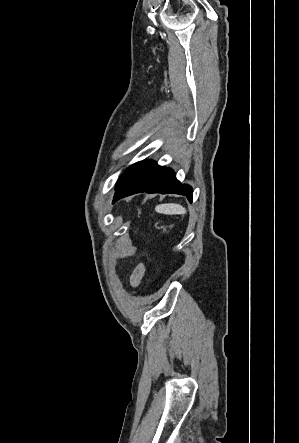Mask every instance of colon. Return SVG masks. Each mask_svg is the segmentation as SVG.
I'll list each match as a JSON object with an SVG mask.
<instances>
[{
    "instance_id": "colon-1",
    "label": "colon",
    "mask_w": 299,
    "mask_h": 443,
    "mask_svg": "<svg viewBox=\"0 0 299 443\" xmlns=\"http://www.w3.org/2000/svg\"><path fill=\"white\" fill-rule=\"evenodd\" d=\"M162 268H163V262L160 263L158 271L161 272Z\"/></svg>"
}]
</instances>
